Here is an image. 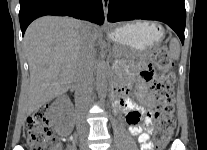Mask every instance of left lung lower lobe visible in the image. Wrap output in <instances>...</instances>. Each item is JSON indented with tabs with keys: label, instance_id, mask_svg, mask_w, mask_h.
I'll return each instance as SVG.
<instances>
[{
	"label": "left lung lower lobe",
	"instance_id": "0a47b994",
	"mask_svg": "<svg viewBox=\"0 0 207 150\" xmlns=\"http://www.w3.org/2000/svg\"><path fill=\"white\" fill-rule=\"evenodd\" d=\"M107 2V1H106ZM157 20L169 25L184 43V0H109L108 21Z\"/></svg>",
	"mask_w": 207,
	"mask_h": 150
}]
</instances>
